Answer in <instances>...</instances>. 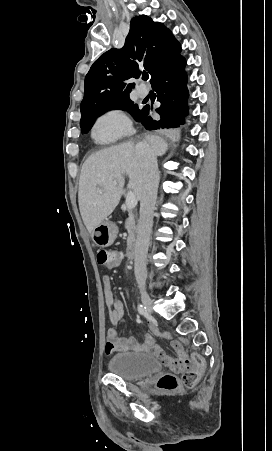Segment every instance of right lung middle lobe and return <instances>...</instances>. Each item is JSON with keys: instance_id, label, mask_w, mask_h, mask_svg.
<instances>
[{"instance_id": "obj_1", "label": "right lung middle lobe", "mask_w": 272, "mask_h": 451, "mask_svg": "<svg viewBox=\"0 0 272 451\" xmlns=\"http://www.w3.org/2000/svg\"><path fill=\"white\" fill-rule=\"evenodd\" d=\"M111 109L126 110L132 114L135 120H139L143 113V110L138 109V105L134 104L130 98L105 103L81 113L80 127L82 128V132L87 133L94 120L105 111Z\"/></svg>"}]
</instances>
